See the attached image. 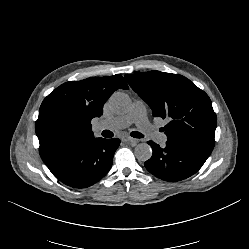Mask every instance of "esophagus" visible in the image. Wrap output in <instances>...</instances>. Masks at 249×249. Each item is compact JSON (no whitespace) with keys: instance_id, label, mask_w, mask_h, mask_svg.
<instances>
[{"instance_id":"obj_1","label":"esophagus","mask_w":249,"mask_h":249,"mask_svg":"<svg viewBox=\"0 0 249 249\" xmlns=\"http://www.w3.org/2000/svg\"><path fill=\"white\" fill-rule=\"evenodd\" d=\"M121 141L131 143V142L135 141V139L132 137H129V136H122Z\"/></svg>"}]
</instances>
